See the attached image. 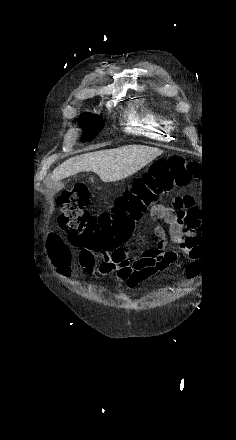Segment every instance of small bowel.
Instances as JSON below:
<instances>
[{
    "label": "small bowel",
    "instance_id": "obj_1",
    "mask_svg": "<svg viewBox=\"0 0 236 440\" xmlns=\"http://www.w3.org/2000/svg\"><path fill=\"white\" fill-rule=\"evenodd\" d=\"M195 201L192 195H178L173 199L171 206L155 205L151 210L154 221L153 232L159 237L156 248L145 250L130 259V249L120 246L112 251L99 250L102 257L101 264L95 268V253L86 247H80L78 252L82 273L85 275L107 276L115 273L120 285L135 288L138 284L158 272L168 269L184 270L186 278L191 280L199 273V264L196 261L198 254L195 251L197 234L193 230L196 221ZM191 218V224L186 220ZM164 222L168 229L159 223ZM169 244L180 250H169ZM188 253L193 262L184 265V254ZM56 256L62 266H67L71 257L66 246L58 245Z\"/></svg>",
    "mask_w": 236,
    "mask_h": 440
}]
</instances>
